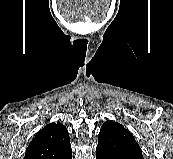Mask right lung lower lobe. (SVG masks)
I'll return each instance as SVG.
<instances>
[{
	"label": "right lung lower lobe",
	"mask_w": 173,
	"mask_h": 159,
	"mask_svg": "<svg viewBox=\"0 0 173 159\" xmlns=\"http://www.w3.org/2000/svg\"><path fill=\"white\" fill-rule=\"evenodd\" d=\"M60 159H72V150L64 156H62Z\"/></svg>",
	"instance_id": "1"
}]
</instances>
